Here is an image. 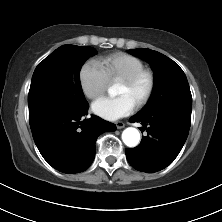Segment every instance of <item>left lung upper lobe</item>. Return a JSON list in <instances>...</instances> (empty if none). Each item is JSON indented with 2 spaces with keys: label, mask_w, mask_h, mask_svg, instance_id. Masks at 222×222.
Returning a JSON list of instances; mask_svg holds the SVG:
<instances>
[{
  "label": "left lung upper lobe",
  "mask_w": 222,
  "mask_h": 222,
  "mask_svg": "<svg viewBox=\"0 0 222 222\" xmlns=\"http://www.w3.org/2000/svg\"><path fill=\"white\" fill-rule=\"evenodd\" d=\"M132 54L149 62L155 75L153 94L148 104L139 112L153 111L166 105L192 109V96L183 70L170 58L150 49H132Z\"/></svg>",
  "instance_id": "5c2ea615"
}]
</instances>
